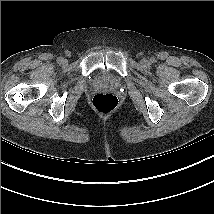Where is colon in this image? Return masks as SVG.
Segmentation results:
<instances>
[{
  "label": "colon",
  "mask_w": 214,
  "mask_h": 214,
  "mask_svg": "<svg viewBox=\"0 0 214 214\" xmlns=\"http://www.w3.org/2000/svg\"><path fill=\"white\" fill-rule=\"evenodd\" d=\"M93 107L100 113H110L118 106V98L112 93H98L93 97Z\"/></svg>",
  "instance_id": "colon-1"
}]
</instances>
